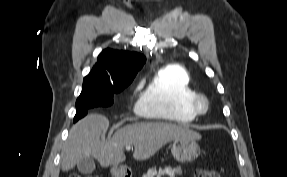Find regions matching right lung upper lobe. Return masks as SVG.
<instances>
[{
	"instance_id": "right-lung-upper-lobe-1",
	"label": "right lung upper lobe",
	"mask_w": 287,
	"mask_h": 177,
	"mask_svg": "<svg viewBox=\"0 0 287 177\" xmlns=\"http://www.w3.org/2000/svg\"><path fill=\"white\" fill-rule=\"evenodd\" d=\"M145 61V56L139 53L105 49L86 77L104 86L132 81Z\"/></svg>"
}]
</instances>
